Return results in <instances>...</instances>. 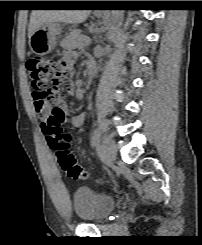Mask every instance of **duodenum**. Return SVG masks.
<instances>
[{
  "mask_svg": "<svg viewBox=\"0 0 202 245\" xmlns=\"http://www.w3.org/2000/svg\"><path fill=\"white\" fill-rule=\"evenodd\" d=\"M86 71H87L86 84L90 85L95 78V67L92 64H88Z\"/></svg>",
  "mask_w": 202,
  "mask_h": 245,
  "instance_id": "duodenum-1",
  "label": "duodenum"
}]
</instances>
